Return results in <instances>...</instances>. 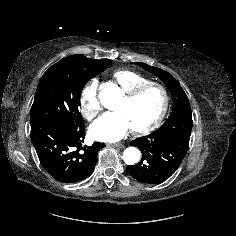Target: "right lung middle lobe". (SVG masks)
Segmentation results:
<instances>
[{"label":"right lung middle lobe","instance_id":"obj_1","mask_svg":"<svg viewBox=\"0 0 236 236\" xmlns=\"http://www.w3.org/2000/svg\"><path fill=\"white\" fill-rule=\"evenodd\" d=\"M110 64V61L102 60L87 70L51 66L38 84L30 111L31 122L56 121L75 129L84 126L79 112L81 91L89 79Z\"/></svg>","mask_w":236,"mask_h":236}]
</instances>
